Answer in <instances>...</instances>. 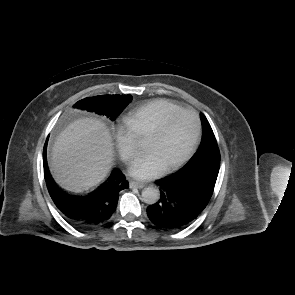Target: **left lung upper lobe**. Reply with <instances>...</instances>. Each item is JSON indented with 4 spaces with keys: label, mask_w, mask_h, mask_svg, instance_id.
Instances as JSON below:
<instances>
[{
    "label": "left lung upper lobe",
    "mask_w": 295,
    "mask_h": 295,
    "mask_svg": "<svg viewBox=\"0 0 295 295\" xmlns=\"http://www.w3.org/2000/svg\"><path fill=\"white\" fill-rule=\"evenodd\" d=\"M200 117L203 128L201 147L184 168L190 167L204 158L220 160V152L212 128L203 113L200 114Z\"/></svg>",
    "instance_id": "left-lung-upper-lobe-1"
}]
</instances>
